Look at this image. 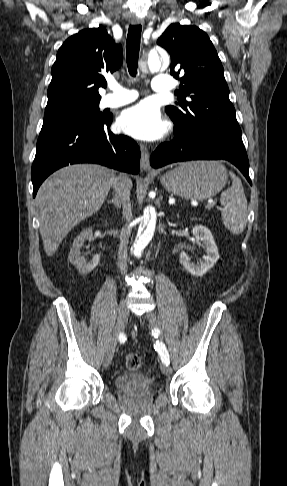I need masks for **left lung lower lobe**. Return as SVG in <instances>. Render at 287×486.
I'll list each match as a JSON object with an SVG mask.
<instances>
[{"label": "left lung lower lobe", "mask_w": 287, "mask_h": 486, "mask_svg": "<svg viewBox=\"0 0 287 486\" xmlns=\"http://www.w3.org/2000/svg\"><path fill=\"white\" fill-rule=\"evenodd\" d=\"M218 159L234 164L252 184L242 139L215 131L175 127L174 139L156 148L150 157V164L153 168H160L173 162Z\"/></svg>", "instance_id": "0a47b994"}]
</instances>
